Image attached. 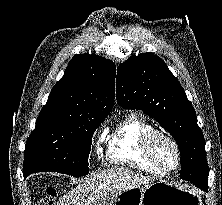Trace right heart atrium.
Instances as JSON below:
<instances>
[{"label": "right heart atrium", "mask_w": 222, "mask_h": 205, "mask_svg": "<svg viewBox=\"0 0 222 205\" xmlns=\"http://www.w3.org/2000/svg\"><path fill=\"white\" fill-rule=\"evenodd\" d=\"M99 141L101 142V141H102V138H100Z\"/></svg>", "instance_id": "1"}]
</instances>
